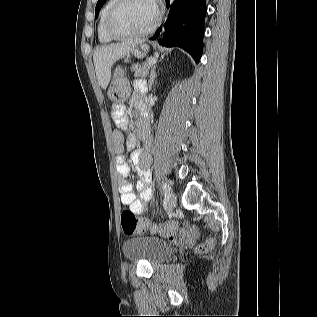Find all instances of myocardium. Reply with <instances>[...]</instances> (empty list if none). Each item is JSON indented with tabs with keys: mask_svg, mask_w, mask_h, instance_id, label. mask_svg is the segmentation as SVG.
Listing matches in <instances>:
<instances>
[{
	"mask_svg": "<svg viewBox=\"0 0 317 317\" xmlns=\"http://www.w3.org/2000/svg\"><path fill=\"white\" fill-rule=\"evenodd\" d=\"M125 1L126 0H115L114 4L111 6L107 14L106 23H105L106 32L108 33V35L114 39H129V38H137V37L146 36L149 33H151L157 27L161 19V10L155 0H151V2L154 4V7H155V16L148 27L135 33H119L114 30L112 26L114 16L117 10Z\"/></svg>",
	"mask_w": 317,
	"mask_h": 317,
	"instance_id": "f54148a6",
	"label": "myocardium"
}]
</instances>
